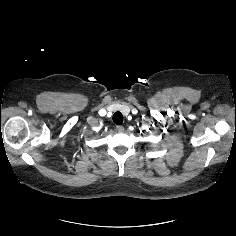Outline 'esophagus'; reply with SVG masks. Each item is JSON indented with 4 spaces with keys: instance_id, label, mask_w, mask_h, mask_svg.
Wrapping results in <instances>:
<instances>
[{
    "instance_id": "esophagus-1",
    "label": "esophagus",
    "mask_w": 236,
    "mask_h": 236,
    "mask_svg": "<svg viewBox=\"0 0 236 236\" xmlns=\"http://www.w3.org/2000/svg\"><path fill=\"white\" fill-rule=\"evenodd\" d=\"M124 127L123 126H116V131L119 132V133H122L124 132Z\"/></svg>"
}]
</instances>
